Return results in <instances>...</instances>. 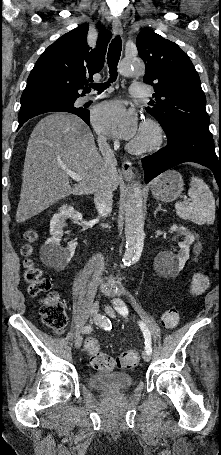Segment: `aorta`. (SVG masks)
<instances>
[{
    "mask_svg": "<svg viewBox=\"0 0 221 455\" xmlns=\"http://www.w3.org/2000/svg\"><path fill=\"white\" fill-rule=\"evenodd\" d=\"M119 71L125 77L143 75L145 66L137 57H126L121 61ZM124 214L126 249L123 256V263L124 265H130L139 260L145 237L142 190L139 182L134 187L129 188L124 206Z\"/></svg>",
    "mask_w": 221,
    "mask_h": 455,
    "instance_id": "obj_1",
    "label": "aorta"
}]
</instances>
